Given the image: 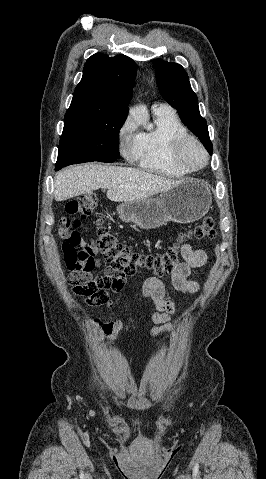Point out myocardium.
Masks as SVG:
<instances>
[{
  "label": "myocardium",
  "instance_id": "1",
  "mask_svg": "<svg viewBox=\"0 0 266 479\" xmlns=\"http://www.w3.org/2000/svg\"><path fill=\"white\" fill-rule=\"evenodd\" d=\"M196 147L203 155V161L197 166H191L185 157L188 148ZM171 158L173 162L188 172H196L205 168L209 162V154L204 145L195 137L190 135L177 138L171 147Z\"/></svg>",
  "mask_w": 266,
  "mask_h": 479
}]
</instances>
